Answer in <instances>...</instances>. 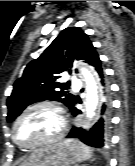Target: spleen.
I'll list each match as a JSON object with an SVG mask.
<instances>
[{
  "mask_svg": "<svg viewBox=\"0 0 135 166\" xmlns=\"http://www.w3.org/2000/svg\"><path fill=\"white\" fill-rule=\"evenodd\" d=\"M64 142L76 149L75 155L78 162L85 161L91 157L92 150L81 142L77 140H66Z\"/></svg>",
  "mask_w": 135,
  "mask_h": 166,
  "instance_id": "3e777b00",
  "label": "spleen"
}]
</instances>
